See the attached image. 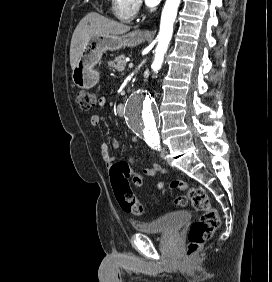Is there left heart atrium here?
<instances>
[{"label":"left heart atrium","mask_w":272,"mask_h":282,"mask_svg":"<svg viewBox=\"0 0 272 282\" xmlns=\"http://www.w3.org/2000/svg\"><path fill=\"white\" fill-rule=\"evenodd\" d=\"M144 1L145 4L150 7L156 6L160 2V0H144Z\"/></svg>","instance_id":"39dd6f15"}]
</instances>
